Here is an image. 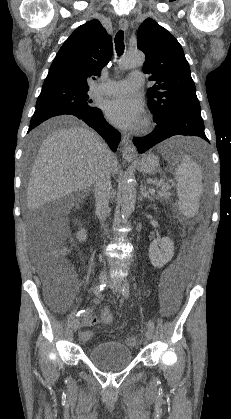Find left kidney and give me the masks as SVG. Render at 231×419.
<instances>
[{"instance_id":"left-kidney-1","label":"left kidney","mask_w":231,"mask_h":419,"mask_svg":"<svg viewBox=\"0 0 231 419\" xmlns=\"http://www.w3.org/2000/svg\"><path fill=\"white\" fill-rule=\"evenodd\" d=\"M174 255V242L169 237L155 239L149 246V259L156 268H162Z\"/></svg>"}]
</instances>
